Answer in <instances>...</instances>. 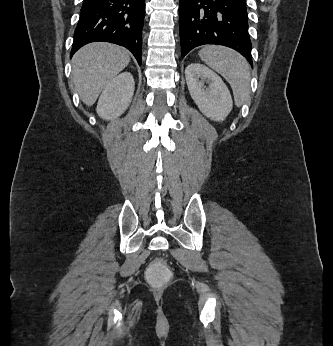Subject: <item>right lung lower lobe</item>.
<instances>
[{
  "mask_svg": "<svg viewBox=\"0 0 333 346\" xmlns=\"http://www.w3.org/2000/svg\"><path fill=\"white\" fill-rule=\"evenodd\" d=\"M144 0H84L70 57L83 45L104 41L126 47L141 65Z\"/></svg>",
  "mask_w": 333,
  "mask_h": 346,
  "instance_id": "98d812e1",
  "label": "right lung lower lobe"
}]
</instances>
